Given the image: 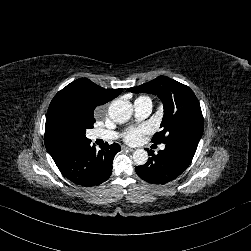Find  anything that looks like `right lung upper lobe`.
Instances as JSON below:
<instances>
[{"label": "right lung upper lobe", "instance_id": "right-lung-upper-lobe-1", "mask_svg": "<svg viewBox=\"0 0 251 251\" xmlns=\"http://www.w3.org/2000/svg\"><path fill=\"white\" fill-rule=\"evenodd\" d=\"M123 89H104L87 78L77 79L60 90L50 107L60 108L85 117H94V109L117 97ZM45 133V146L51 154L63 144L82 142Z\"/></svg>", "mask_w": 251, "mask_h": 251}]
</instances>
